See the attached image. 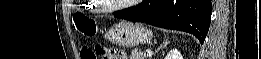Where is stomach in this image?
Listing matches in <instances>:
<instances>
[{"label":"stomach","mask_w":261,"mask_h":59,"mask_svg":"<svg viewBox=\"0 0 261 59\" xmlns=\"http://www.w3.org/2000/svg\"><path fill=\"white\" fill-rule=\"evenodd\" d=\"M152 36V31L147 26L125 20L113 25L105 34L108 41L122 47L148 43Z\"/></svg>","instance_id":"0dacf381"}]
</instances>
